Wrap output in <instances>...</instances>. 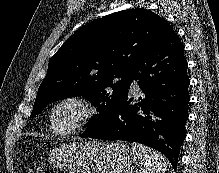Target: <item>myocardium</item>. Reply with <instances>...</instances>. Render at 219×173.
<instances>
[{"mask_svg": "<svg viewBox=\"0 0 219 173\" xmlns=\"http://www.w3.org/2000/svg\"><path fill=\"white\" fill-rule=\"evenodd\" d=\"M64 105H73L77 108L78 114L73 122V124L66 130H58L55 122V114L57 110ZM98 111L94 103L88 98L81 95H67L64 96L52 105L49 112V122L52 132L57 136H70L79 131L83 130L87 125H89L93 119L96 117Z\"/></svg>", "mask_w": 219, "mask_h": 173, "instance_id": "f54148a6", "label": "myocardium"}]
</instances>
